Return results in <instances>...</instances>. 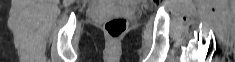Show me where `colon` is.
I'll list each match as a JSON object with an SVG mask.
<instances>
[{
  "mask_svg": "<svg viewBox=\"0 0 235 62\" xmlns=\"http://www.w3.org/2000/svg\"><path fill=\"white\" fill-rule=\"evenodd\" d=\"M127 20L123 17H115L104 23V31L110 40L116 41L120 39L127 29Z\"/></svg>",
  "mask_w": 235,
  "mask_h": 62,
  "instance_id": "colon-1",
  "label": "colon"
}]
</instances>
